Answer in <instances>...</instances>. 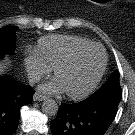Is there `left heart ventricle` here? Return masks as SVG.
Instances as JSON below:
<instances>
[{
    "mask_svg": "<svg viewBox=\"0 0 135 135\" xmlns=\"http://www.w3.org/2000/svg\"><path fill=\"white\" fill-rule=\"evenodd\" d=\"M103 63V53L98 47L82 52L71 64L58 71L56 77L65 91L77 93L96 77Z\"/></svg>",
    "mask_w": 135,
    "mask_h": 135,
    "instance_id": "b2bd125f",
    "label": "left heart ventricle"
}]
</instances>
